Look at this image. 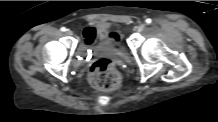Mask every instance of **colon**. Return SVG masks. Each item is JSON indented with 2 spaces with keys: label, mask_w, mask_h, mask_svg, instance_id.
Listing matches in <instances>:
<instances>
[{
  "label": "colon",
  "mask_w": 218,
  "mask_h": 122,
  "mask_svg": "<svg viewBox=\"0 0 218 122\" xmlns=\"http://www.w3.org/2000/svg\"><path fill=\"white\" fill-rule=\"evenodd\" d=\"M123 41L122 32L118 28H109L102 33V42L107 47L119 48ZM88 79L91 85L98 90H115L121 83L116 62L107 57L98 58L90 64Z\"/></svg>",
  "instance_id": "5ec220e1"
}]
</instances>
